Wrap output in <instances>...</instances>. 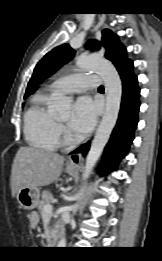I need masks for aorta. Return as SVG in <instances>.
<instances>
[{"label": "aorta", "instance_id": "obj_1", "mask_svg": "<svg viewBox=\"0 0 162 261\" xmlns=\"http://www.w3.org/2000/svg\"><path fill=\"white\" fill-rule=\"evenodd\" d=\"M76 65L82 70L98 71L104 81L106 93V109L91 143L82 175L83 180H87L116 125L120 111L122 83L115 67L104 58L94 55L79 56L76 59ZM71 102V98L61 97L54 103V108L58 112H66L70 109ZM82 195L83 190L77 194V199H80ZM78 206L79 204L76 203L71 207L73 214L76 213ZM65 246L66 238L63 237L58 242V247L64 248Z\"/></svg>", "mask_w": 162, "mask_h": 261}]
</instances>
